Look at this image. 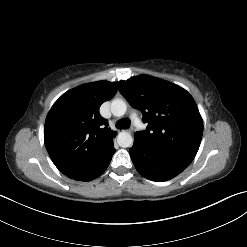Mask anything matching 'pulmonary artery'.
<instances>
[{
    "instance_id": "e3ab8cb5",
    "label": "pulmonary artery",
    "mask_w": 247,
    "mask_h": 247,
    "mask_svg": "<svg viewBox=\"0 0 247 247\" xmlns=\"http://www.w3.org/2000/svg\"><path fill=\"white\" fill-rule=\"evenodd\" d=\"M133 119H134L135 124H136L138 127L141 126L140 121H139L138 118L133 117Z\"/></svg>"
}]
</instances>
